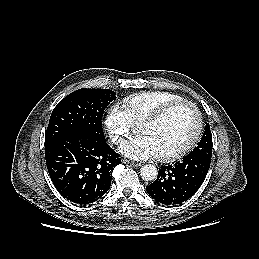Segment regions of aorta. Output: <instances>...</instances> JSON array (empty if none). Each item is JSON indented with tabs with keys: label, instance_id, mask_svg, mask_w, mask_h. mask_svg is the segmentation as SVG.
<instances>
[{
	"label": "aorta",
	"instance_id": "1",
	"mask_svg": "<svg viewBox=\"0 0 259 259\" xmlns=\"http://www.w3.org/2000/svg\"><path fill=\"white\" fill-rule=\"evenodd\" d=\"M158 175L157 168L154 165L147 164L141 167L140 176L145 181H153Z\"/></svg>",
	"mask_w": 259,
	"mask_h": 259
}]
</instances>
